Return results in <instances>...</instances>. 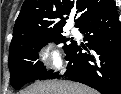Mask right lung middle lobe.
Segmentation results:
<instances>
[{
    "label": "right lung middle lobe",
    "mask_w": 121,
    "mask_h": 94,
    "mask_svg": "<svg viewBox=\"0 0 121 94\" xmlns=\"http://www.w3.org/2000/svg\"><path fill=\"white\" fill-rule=\"evenodd\" d=\"M62 32V30L53 32L32 31L10 45L8 59L10 82L16 90L28 82L38 80L45 74L46 68L37 61L38 51L48 42L57 40L58 43H65L68 41L69 39H65L60 34ZM74 44L75 41H71V44L64 45L66 54Z\"/></svg>",
    "instance_id": "obj_1"
}]
</instances>
